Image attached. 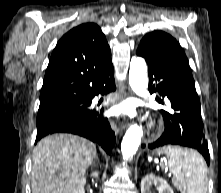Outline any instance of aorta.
Segmentation results:
<instances>
[{
  "label": "aorta",
  "instance_id": "obj_1",
  "mask_svg": "<svg viewBox=\"0 0 221 193\" xmlns=\"http://www.w3.org/2000/svg\"><path fill=\"white\" fill-rule=\"evenodd\" d=\"M147 64L142 57H133L130 62L129 84L136 95L150 98L148 91ZM143 135L141 125H132L125 133L121 142V152L125 161L136 154Z\"/></svg>",
  "mask_w": 221,
  "mask_h": 193
}]
</instances>
